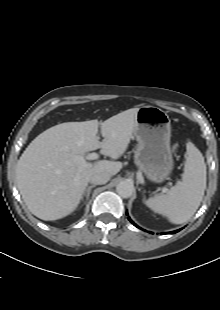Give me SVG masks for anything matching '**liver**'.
Instances as JSON below:
<instances>
[{
  "label": "liver",
  "instance_id": "obj_1",
  "mask_svg": "<svg viewBox=\"0 0 220 310\" xmlns=\"http://www.w3.org/2000/svg\"><path fill=\"white\" fill-rule=\"evenodd\" d=\"M138 110L128 109L101 123L66 122L39 134L16 165L17 187L29 211L45 221L66 217L79 205L93 174L116 175L121 162L87 163L85 154L101 148L105 156H122L133 137Z\"/></svg>",
  "mask_w": 220,
  "mask_h": 310
}]
</instances>
